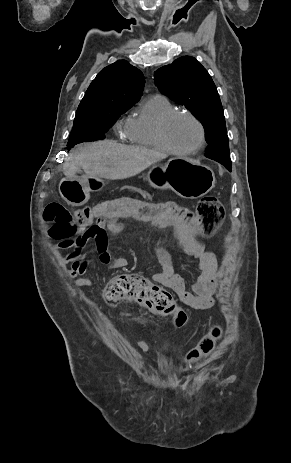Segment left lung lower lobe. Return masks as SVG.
I'll return each mask as SVG.
<instances>
[{
  "instance_id": "left-lung-lower-lobe-1",
  "label": "left lung lower lobe",
  "mask_w": 291,
  "mask_h": 463,
  "mask_svg": "<svg viewBox=\"0 0 291 463\" xmlns=\"http://www.w3.org/2000/svg\"><path fill=\"white\" fill-rule=\"evenodd\" d=\"M215 160V159H213ZM215 161L221 163L222 165H224L229 171H231V168H232V163L231 161H225V160H221V159H216Z\"/></svg>"
}]
</instances>
